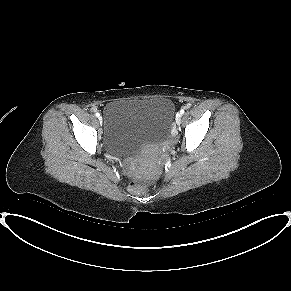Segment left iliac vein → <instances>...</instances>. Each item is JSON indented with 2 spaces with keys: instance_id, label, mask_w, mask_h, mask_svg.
Segmentation results:
<instances>
[{
  "instance_id": "4c4485c4",
  "label": "left iliac vein",
  "mask_w": 291,
  "mask_h": 291,
  "mask_svg": "<svg viewBox=\"0 0 291 291\" xmlns=\"http://www.w3.org/2000/svg\"><path fill=\"white\" fill-rule=\"evenodd\" d=\"M181 118H182V115L180 113H178L176 115V123H177V125H180L181 124Z\"/></svg>"
}]
</instances>
